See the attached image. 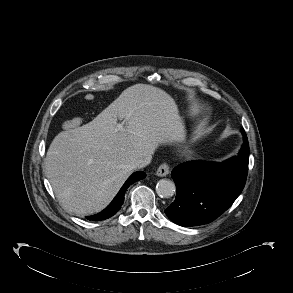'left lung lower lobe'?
I'll return each mask as SVG.
<instances>
[{"label":"left lung lower lobe","instance_id":"1","mask_svg":"<svg viewBox=\"0 0 293 293\" xmlns=\"http://www.w3.org/2000/svg\"><path fill=\"white\" fill-rule=\"evenodd\" d=\"M238 156L222 163L190 161L175 167L171 176L177 187L175 201L166 215L181 226L208 224L225 212L242 192L248 172L249 144Z\"/></svg>","mask_w":293,"mask_h":293}]
</instances>
